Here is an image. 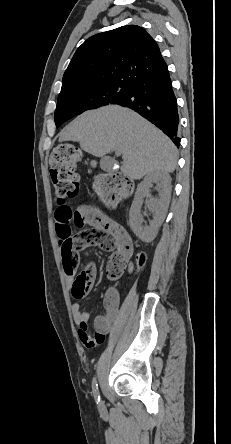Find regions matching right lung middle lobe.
<instances>
[{
    "label": "right lung middle lobe",
    "instance_id": "dd1d6c3e",
    "mask_svg": "<svg viewBox=\"0 0 231 444\" xmlns=\"http://www.w3.org/2000/svg\"><path fill=\"white\" fill-rule=\"evenodd\" d=\"M129 91L130 85L111 83L62 92L54 115L56 127L86 110L114 104L125 98Z\"/></svg>",
    "mask_w": 231,
    "mask_h": 444
}]
</instances>
